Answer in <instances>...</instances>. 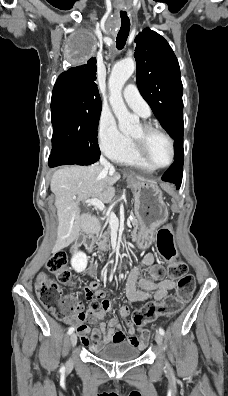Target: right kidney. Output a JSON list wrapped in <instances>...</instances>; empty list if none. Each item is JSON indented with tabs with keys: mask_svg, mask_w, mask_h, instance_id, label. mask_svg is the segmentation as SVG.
I'll use <instances>...</instances> for the list:
<instances>
[{
	"mask_svg": "<svg viewBox=\"0 0 228 396\" xmlns=\"http://www.w3.org/2000/svg\"><path fill=\"white\" fill-rule=\"evenodd\" d=\"M87 263H88V258L86 254L81 251L75 252V254L71 259L72 268L77 273L83 272L87 267Z\"/></svg>",
	"mask_w": 228,
	"mask_h": 396,
	"instance_id": "ca27d5eb",
	"label": "right kidney"
}]
</instances>
